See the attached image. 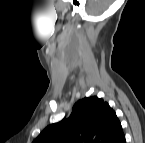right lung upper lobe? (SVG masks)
<instances>
[{
  "instance_id": "cb5924a9",
  "label": "right lung upper lobe",
  "mask_w": 145,
  "mask_h": 143,
  "mask_svg": "<svg viewBox=\"0 0 145 143\" xmlns=\"http://www.w3.org/2000/svg\"><path fill=\"white\" fill-rule=\"evenodd\" d=\"M34 143H125L120 121L107 102L79 100L68 119L47 126Z\"/></svg>"
}]
</instances>
